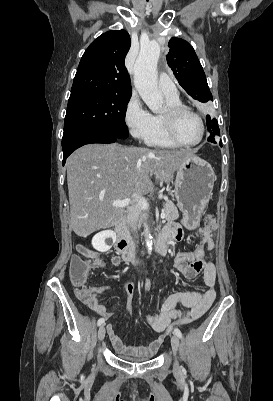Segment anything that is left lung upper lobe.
<instances>
[{
	"mask_svg": "<svg viewBox=\"0 0 273 401\" xmlns=\"http://www.w3.org/2000/svg\"><path fill=\"white\" fill-rule=\"evenodd\" d=\"M166 56L168 66L179 84L194 99L200 102L213 100L205 73L193 47L185 40L171 38Z\"/></svg>",
	"mask_w": 273,
	"mask_h": 401,
	"instance_id": "5c2ea615",
	"label": "left lung upper lobe"
}]
</instances>
